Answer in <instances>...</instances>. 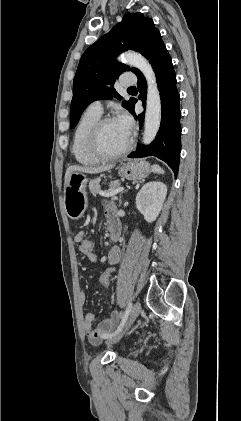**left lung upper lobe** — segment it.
I'll return each mask as SVG.
<instances>
[{
    "mask_svg": "<svg viewBox=\"0 0 241 421\" xmlns=\"http://www.w3.org/2000/svg\"><path fill=\"white\" fill-rule=\"evenodd\" d=\"M159 31L153 20L141 13H126L122 21L107 34L91 45L82 55L73 82V98L70 110V126L75 127L80 115L94 100H118L122 97L113 88L118 76L128 70L138 69L117 62L116 56L126 50H135L146 55L154 37ZM135 99L123 101L129 111Z\"/></svg>",
    "mask_w": 241,
    "mask_h": 421,
    "instance_id": "5c2ea615",
    "label": "left lung upper lobe"
}]
</instances>
